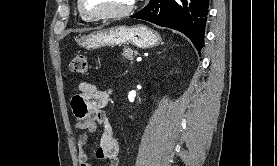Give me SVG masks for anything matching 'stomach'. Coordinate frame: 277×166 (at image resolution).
Returning <instances> with one entry per match:
<instances>
[{"instance_id": "obj_1", "label": "stomach", "mask_w": 277, "mask_h": 166, "mask_svg": "<svg viewBox=\"0 0 277 166\" xmlns=\"http://www.w3.org/2000/svg\"><path fill=\"white\" fill-rule=\"evenodd\" d=\"M77 43L86 49H97L104 46H120L128 43L139 48H149L161 43V37L155 31L144 25L117 26L93 32Z\"/></svg>"}]
</instances>
